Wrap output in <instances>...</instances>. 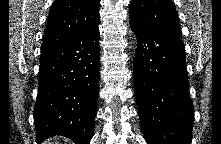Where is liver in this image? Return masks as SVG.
Masks as SVG:
<instances>
[{
	"label": "liver",
	"mask_w": 221,
	"mask_h": 144,
	"mask_svg": "<svg viewBox=\"0 0 221 144\" xmlns=\"http://www.w3.org/2000/svg\"><path fill=\"white\" fill-rule=\"evenodd\" d=\"M44 144H58V141L48 140V141H45Z\"/></svg>",
	"instance_id": "6515ba94"
}]
</instances>
